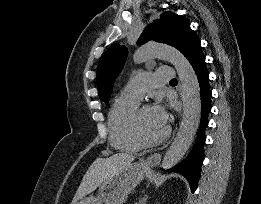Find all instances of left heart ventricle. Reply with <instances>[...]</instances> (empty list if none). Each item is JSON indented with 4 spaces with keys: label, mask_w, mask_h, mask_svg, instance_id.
I'll list each match as a JSON object with an SVG mask.
<instances>
[{
    "label": "left heart ventricle",
    "mask_w": 261,
    "mask_h": 204,
    "mask_svg": "<svg viewBox=\"0 0 261 204\" xmlns=\"http://www.w3.org/2000/svg\"><path fill=\"white\" fill-rule=\"evenodd\" d=\"M141 126L149 138H157L165 131L166 127L161 126L152 110V107L145 108L141 113Z\"/></svg>",
    "instance_id": "b2bd125f"
}]
</instances>
